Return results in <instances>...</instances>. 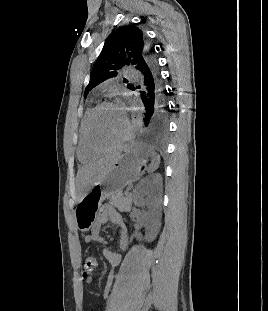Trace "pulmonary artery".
<instances>
[{
	"instance_id": "1",
	"label": "pulmonary artery",
	"mask_w": 268,
	"mask_h": 311,
	"mask_svg": "<svg viewBox=\"0 0 268 311\" xmlns=\"http://www.w3.org/2000/svg\"><path fill=\"white\" fill-rule=\"evenodd\" d=\"M125 76L126 77H131V76H133V72L132 71H126L125 72Z\"/></svg>"
}]
</instances>
